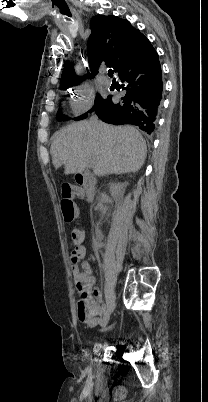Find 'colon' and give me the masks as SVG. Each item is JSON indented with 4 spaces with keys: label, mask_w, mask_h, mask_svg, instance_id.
Wrapping results in <instances>:
<instances>
[{
    "label": "colon",
    "mask_w": 208,
    "mask_h": 402,
    "mask_svg": "<svg viewBox=\"0 0 208 402\" xmlns=\"http://www.w3.org/2000/svg\"><path fill=\"white\" fill-rule=\"evenodd\" d=\"M75 185H70V184H63L61 187V196L63 198H69L74 190H75ZM76 214H75V206L74 205H65L64 206V215H63V220L64 222H75L76 220ZM82 236H85V231H71L69 233V239L70 243L73 244L77 248H71L70 249V254H71V262L72 263H77L78 260H81L83 258V253H84V246L81 245V240ZM84 294L88 295L89 292L87 289H84ZM93 298L92 297H78L77 299V304L79 306V314L81 318H88L93 315V310L91 309V306L93 305Z\"/></svg>",
    "instance_id": "obj_1"
}]
</instances>
